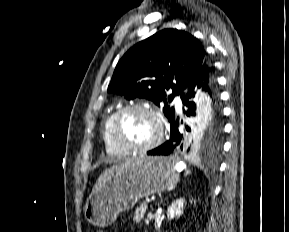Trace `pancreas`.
<instances>
[{
	"label": "pancreas",
	"mask_w": 289,
	"mask_h": 232,
	"mask_svg": "<svg viewBox=\"0 0 289 232\" xmlns=\"http://www.w3.org/2000/svg\"><path fill=\"white\" fill-rule=\"evenodd\" d=\"M146 209H147V204L146 203L140 204L135 210L134 221L139 223L143 219V217H144V215L146 213Z\"/></svg>",
	"instance_id": "cf45deb5"
}]
</instances>
